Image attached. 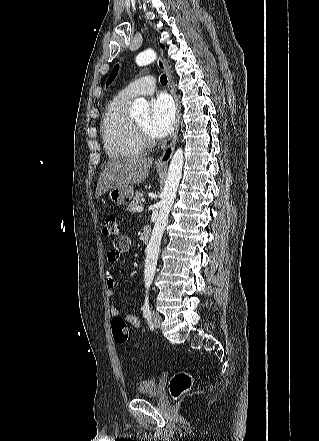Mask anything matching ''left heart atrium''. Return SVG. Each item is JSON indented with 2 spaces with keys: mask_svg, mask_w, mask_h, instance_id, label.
I'll use <instances>...</instances> for the list:
<instances>
[{
  "mask_svg": "<svg viewBox=\"0 0 319 441\" xmlns=\"http://www.w3.org/2000/svg\"><path fill=\"white\" fill-rule=\"evenodd\" d=\"M150 105L149 133L155 138L166 137L173 129L175 119V108L172 100L161 94L153 98Z\"/></svg>",
  "mask_w": 319,
  "mask_h": 441,
  "instance_id": "39dd6f15",
  "label": "left heart atrium"
}]
</instances>
